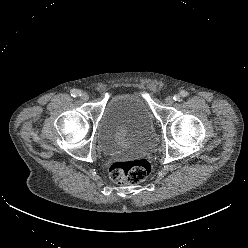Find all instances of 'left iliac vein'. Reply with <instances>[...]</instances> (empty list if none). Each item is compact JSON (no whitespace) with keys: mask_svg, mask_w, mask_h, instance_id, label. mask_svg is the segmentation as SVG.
<instances>
[{"mask_svg":"<svg viewBox=\"0 0 248 248\" xmlns=\"http://www.w3.org/2000/svg\"><path fill=\"white\" fill-rule=\"evenodd\" d=\"M165 103L169 106L172 105L174 103V98L172 96L166 97Z\"/></svg>","mask_w":248,"mask_h":248,"instance_id":"1","label":"left iliac vein"}]
</instances>
